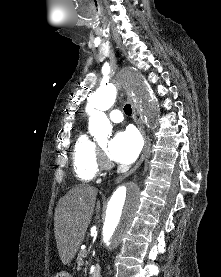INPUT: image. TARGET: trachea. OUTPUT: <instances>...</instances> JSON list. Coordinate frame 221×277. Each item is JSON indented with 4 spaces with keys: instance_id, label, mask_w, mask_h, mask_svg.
Masks as SVG:
<instances>
[{
    "instance_id": "trachea-1",
    "label": "trachea",
    "mask_w": 221,
    "mask_h": 277,
    "mask_svg": "<svg viewBox=\"0 0 221 277\" xmlns=\"http://www.w3.org/2000/svg\"><path fill=\"white\" fill-rule=\"evenodd\" d=\"M124 112H125L126 115H129V116L131 115L132 109H131L130 104H126V105L124 106Z\"/></svg>"
}]
</instances>
